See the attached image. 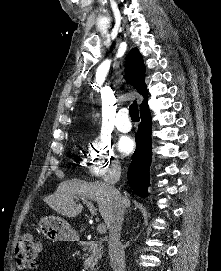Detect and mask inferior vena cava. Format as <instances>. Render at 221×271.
Here are the masks:
<instances>
[{
  "label": "inferior vena cava",
  "mask_w": 221,
  "mask_h": 271,
  "mask_svg": "<svg viewBox=\"0 0 221 271\" xmlns=\"http://www.w3.org/2000/svg\"><path fill=\"white\" fill-rule=\"evenodd\" d=\"M116 167L121 169V165H116ZM106 185L115 195L112 217L109 225H107L109 229L108 251L110 263L113 271H126L125 251L120 241L126 197L120 193L119 189H116L111 181H106Z\"/></svg>",
  "instance_id": "1"
}]
</instances>
